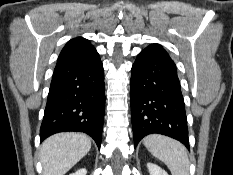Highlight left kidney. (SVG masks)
<instances>
[{
	"label": "left kidney",
	"instance_id": "obj_1",
	"mask_svg": "<svg viewBox=\"0 0 233 175\" xmlns=\"http://www.w3.org/2000/svg\"><path fill=\"white\" fill-rule=\"evenodd\" d=\"M147 168L150 175H168V173L165 170H163L161 167H159L156 164L148 163Z\"/></svg>",
	"mask_w": 233,
	"mask_h": 175
}]
</instances>
